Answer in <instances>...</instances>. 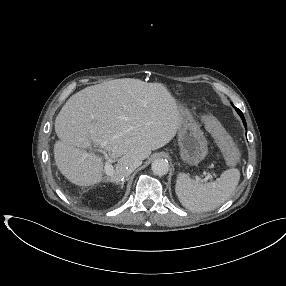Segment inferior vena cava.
<instances>
[{
  "label": "inferior vena cava",
  "mask_w": 286,
  "mask_h": 286,
  "mask_svg": "<svg viewBox=\"0 0 286 286\" xmlns=\"http://www.w3.org/2000/svg\"><path fill=\"white\" fill-rule=\"evenodd\" d=\"M142 164V160L139 158L131 159L127 162L125 176L130 175L137 167Z\"/></svg>",
  "instance_id": "obj_1"
}]
</instances>
